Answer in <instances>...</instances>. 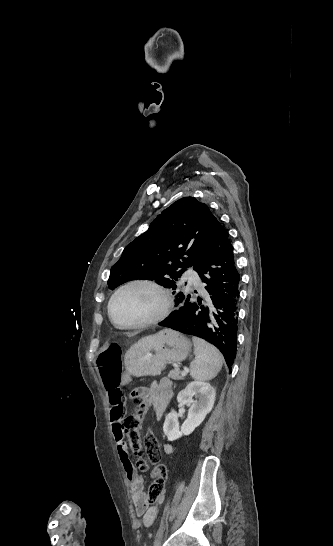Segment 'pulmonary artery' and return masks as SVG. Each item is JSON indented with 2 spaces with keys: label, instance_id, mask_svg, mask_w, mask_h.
<instances>
[{
  "label": "pulmonary artery",
  "instance_id": "1",
  "mask_svg": "<svg viewBox=\"0 0 333 546\" xmlns=\"http://www.w3.org/2000/svg\"><path fill=\"white\" fill-rule=\"evenodd\" d=\"M184 278L185 279H188L190 281H192L195 285H198L200 286L201 285V281H200V278L198 277V275L193 272V271H188L185 273L184 275Z\"/></svg>",
  "mask_w": 333,
  "mask_h": 546
}]
</instances>
